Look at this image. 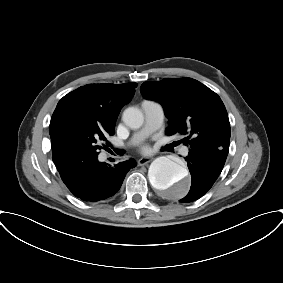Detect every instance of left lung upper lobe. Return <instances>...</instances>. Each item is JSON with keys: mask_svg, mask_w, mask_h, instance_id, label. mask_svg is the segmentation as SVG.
<instances>
[{"mask_svg": "<svg viewBox=\"0 0 283 283\" xmlns=\"http://www.w3.org/2000/svg\"><path fill=\"white\" fill-rule=\"evenodd\" d=\"M147 99L159 101L169 119L168 135L180 133L188 155L210 167L223 168L230 140L228 114L220 97L192 78H166L141 86Z\"/></svg>", "mask_w": 283, "mask_h": 283, "instance_id": "5c2ea615", "label": "left lung upper lobe"}]
</instances>
